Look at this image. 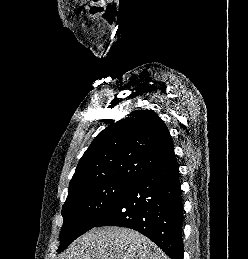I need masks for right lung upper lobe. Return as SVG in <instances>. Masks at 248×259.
<instances>
[{
  "label": "right lung upper lobe",
  "mask_w": 248,
  "mask_h": 259,
  "mask_svg": "<svg viewBox=\"0 0 248 259\" xmlns=\"http://www.w3.org/2000/svg\"><path fill=\"white\" fill-rule=\"evenodd\" d=\"M175 161L173 142L162 119L152 110H135L92 141L69 190L112 180L133 182Z\"/></svg>",
  "instance_id": "cb5924a9"
}]
</instances>
